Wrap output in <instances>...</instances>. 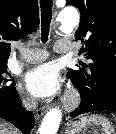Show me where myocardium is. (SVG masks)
<instances>
[{"mask_svg":"<svg viewBox=\"0 0 116 134\" xmlns=\"http://www.w3.org/2000/svg\"><path fill=\"white\" fill-rule=\"evenodd\" d=\"M79 103V96L76 92L72 91L68 94L65 103H64V108L66 110H70L75 108Z\"/></svg>","mask_w":116,"mask_h":134,"instance_id":"obj_1","label":"myocardium"}]
</instances>
